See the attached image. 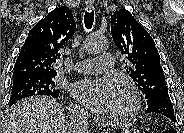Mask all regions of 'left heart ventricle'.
<instances>
[{
  "label": "left heart ventricle",
  "instance_id": "obj_1",
  "mask_svg": "<svg viewBox=\"0 0 184 133\" xmlns=\"http://www.w3.org/2000/svg\"><path fill=\"white\" fill-rule=\"evenodd\" d=\"M126 108L127 101L125 97L120 92H118V97L109 113L110 115L121 114L124 110H126Z\"/></svg>",
  "mask_w": 184,
  "mask_h": 133
}]
</instances>
